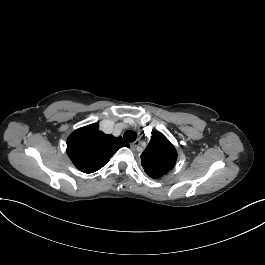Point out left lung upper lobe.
I'll return each mask as SVG.
<instances>
[{
	"mask_svg": "<svg viewBox=\"0 0 265 265\" xmlns=\"http://www.w3.org/2000/svg\"><path fill=\"white\" fill-rule=\"evenodd\" d=\"M177 160V152L169 140L160 132H155L146 149L141 154L142 167L151 178L167 174Z\"/></svg>",
	"mask_w": 265,
	"mask_h": 265,
	"instance_id": "5c2ea615",
	"label": "left lung upper lobe"
}]
</instances>
